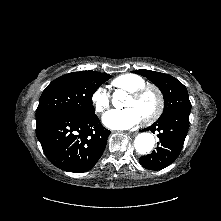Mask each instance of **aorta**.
Segmentation results:
<instances>
[{
    "label": "aorta",
    "instance_id": "1",
    "mask_svg": "<svg viewBox=\"0 0 221 221\" xmlns=\"http://www.w3.org/2000/svg\"><path fill=\"white\" fill-rule=\"evenodd\" d=\"M124 92L121 90L115 91L113 94V103H118L119 99L122 98ZM155 145L154 136L150 133H140L136 136L134 141V147L139 154H148Z\"/></svg>",
    "mask_w": 221,
    "mask_h": 221
}]
</instances>
